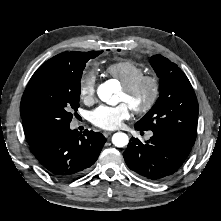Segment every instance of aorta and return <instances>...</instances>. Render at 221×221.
Returning <instances> with one entry per match:
<instances>
[{
	"label": "aorta",
	"instance_id": "obj_1",
	"mask_svg": "<svg viewBox=\"0 0 221 221\" xmlns=\"http://www.w3.org/2000/svg\"><path fill=\"white\" fill-rule=\"evenodd\" d=\"M98 97L100 100L106 103H113V89L109 82H105L98 87ZM129 138L127 134L123 132H117L112 136V143L116 147H124L128 144Z\"/></svg>",
	"mask_w": 221,
	"mask_h": 221
}]
</instances>
